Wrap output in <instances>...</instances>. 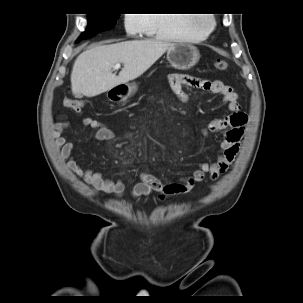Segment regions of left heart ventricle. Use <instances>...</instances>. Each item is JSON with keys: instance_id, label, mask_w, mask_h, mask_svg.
<instances>
[{"instance_id": "left-heart-ventricle-1", "label": "left heart ventricle", "mask_w": 303, "mask_h": 303, "mask_svg": "<svg viewBox=\"0 0 303 303\" xmlns=\"http://www.w3.org/2000/svg\"><path fill=\"white\" fill-rule=\"evenodd\" d=\"M208 26H209L208 21H204V22L201 24V27H202L203 29H206Z\"/></svg>"}]
</instances>
